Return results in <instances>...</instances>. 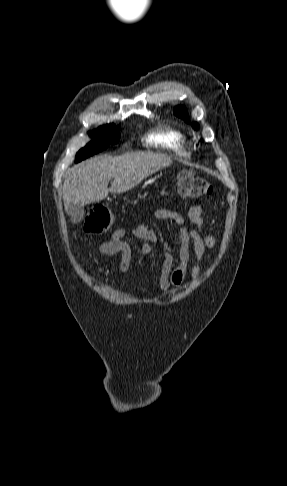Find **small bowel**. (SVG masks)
<instances>
[{"mask_svg": "<svg viewBox=\"0 0 287 486\" xmlns=\"http://www.w3.org/2000/svg\"><path fill=\"white\" fill-rule=\"evenodd\" d=\"M154 217L158 220L173 222L179 231L178 264L175 265V257L171 251L167 249L162 251L164 261L159 279L161 290L168 291L184 283L192 252L195 262L190 269V282L195 281L200 275L202 260L209 259L207 250L215 246L213 236L207 235L205 238L201 236L204 221L203 209L193 207L188 211L189 225L182 214L172 209H158L154 212ZM128 234L139 239L140 250L145 254L151 252L153 244L160 242L157 233L146 225H139L129 231L126 229L115 230L107 241L99 245L98 250L104 256L120 255L119 268L122 273L129 270L132 260V248L125 240Z\"/></svg>", "mask_w": 287, "mask_h": 486, "instance_id": "obj_1", "label": "small bowel"}]
</instances>
